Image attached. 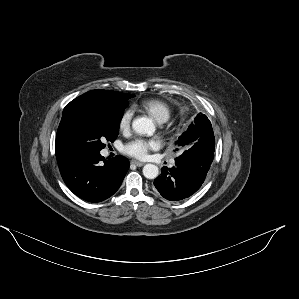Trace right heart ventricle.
<instances>
[{
    "label": "right heart ventricle",
    "mask_w": 299,
    "mask_h": 299,
    "mask_svg": "<svg viewBox=\"0 0 299 299\" xmlns=\"http://www.w3.org/2000/svg\"><path fill=\"white\" fill-rule=\"evenodd\" d=\"M138 107L149 114L157 123L166 122L172 114L171 106L160 99L143 100Z\"/></svg>",
    "instance_id": "right-heart-ventricle-1"
}]
</instances>
